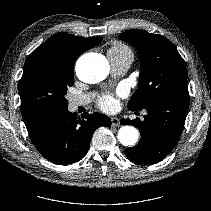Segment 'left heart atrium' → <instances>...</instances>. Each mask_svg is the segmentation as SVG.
Instances as JSON below:
<instances>
[{"label": "left heart atrium", "instance_id": "obj_1", "mask_svg": "<svg viewBox=\"0 0 211 211\" xmlns=\"http://www.w3.org/2000/svg\"><path fill=\"white\" fill-rule=\"evenodd\" d=\"M98 104L103 110L111 111L116 107L117 101L114 96L107 94L99 99Z\"/></svg>", "mask_w": 211, "mask_h": 211}]
</instances>
